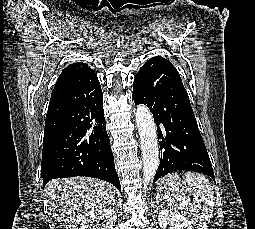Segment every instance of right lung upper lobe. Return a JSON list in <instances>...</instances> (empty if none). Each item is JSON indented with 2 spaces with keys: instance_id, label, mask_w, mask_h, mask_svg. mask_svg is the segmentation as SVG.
Instances as JSON below:
<instances>
[{
  "instance_id": "cb5924a9",
  "label": "right lung upper lobe",
  "mask_w": 255,
  "mask_h": 229,
  "mask_svg": "<svg viewBox=\"0 0 255 229\" xmlns=\"http://www.w3.org/2000/svg\"><path fill=\"white\" fill-rule=\"evenodd\" d=\"M88 68V65L78 62V63H73L69 66H67L59 76L56 85L54 87V90L51 95V99H54L58 96H60L64 90L66 85L70 82L72 78L77 76L78 74L82 73Z\"/></svg>"
}]
</instances>
